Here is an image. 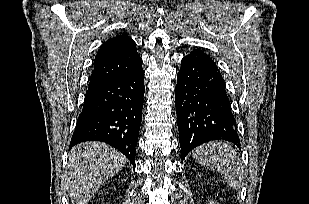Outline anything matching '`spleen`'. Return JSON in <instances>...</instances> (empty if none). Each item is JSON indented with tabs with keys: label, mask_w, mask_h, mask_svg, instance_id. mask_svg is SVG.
<instances>
[{
	"label": "spleen",
	"mask_w": 309,
	"mask_h": 204,
	"mask_svg": "<svg viewBox=\"0 0 309 204\" xmlns=\"http://www.w3.org/2000/svg\"><path fill=\"white\" fill-rule=\"evenodd\" d=\"M192 157L197 163L216 169L232 189L241 188L244 168L230 144L218 141L207 143L196 148Z\"/></svg>",
	"instance_id": "spleen-1"
}]
</instances>
